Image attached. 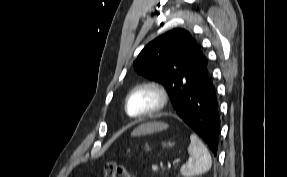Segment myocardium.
<instances>
[{"label": "myocardium", "instance_id": "obj_1", "mask_svg": "<svg viewBox=\"0 0 287 177\" xmlns=\"http://www.w3.org/2000/svg\"><path fill=\"white\" fill-rule=\"evenodd\" d=\"M140 90H148L151 91L157 98V101L155 103V105L149 109L148 111L139 114V115H131L129 113V101L131 96L140 91ZM169 103V93L166 90V88L155 81H146V82H142L136 86H134L126 95L125 98V111L127 113L128 116H130L133 119H145V118H149L152 117L154 115H156L157 113L161 112L162 110H164L167 105Z\"/></svg>", "mask_w": 287, "mask_h": 177}]
</instances>
